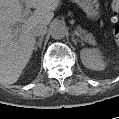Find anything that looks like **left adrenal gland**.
I'll return each mask as SVG.
<instances>
[{
  "label": "left adrenal gland",
  "mask_w": 119,
  "mask_h": 119,
  "mask_svg": "<svg viewBox=\"0 0 119 119\" xmlns=\"http://www.w3.org/2000/svg\"><path fill=\"white\" fill-rule=\"evenodd\" d=\"M72 41H73L74 44H76L77 42L83 43V40L74 39V36H72Z\"/></svg>",
  "instance_id": "a2214340"
}]
</instances>
